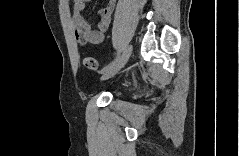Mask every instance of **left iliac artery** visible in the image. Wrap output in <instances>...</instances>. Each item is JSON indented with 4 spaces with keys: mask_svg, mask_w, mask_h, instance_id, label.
I'll use <instances>...</instances> for the list:
<instances>
[{
    "mask_svg": "<svg viewBox=\"0 0 239 156\" xmlns=\"http://www.w3.org/2000/svg\"><path fill=\"white\" fill-rule=\"evenodd\" d=\"M119 58H120V55H119V53H118V55H117V57L112 61V62H110L108 65H106L105 67H103L100 71H99V73H104L105 71H107L108 69H110L112 66H114L116 63H117V61L119 60Z\"/></svg>",
    "mask_w": 239,
    "mask_h": 156,
    "instance_id": "44dca946",
    "label": "left iliac artery"
}]
</instances>
